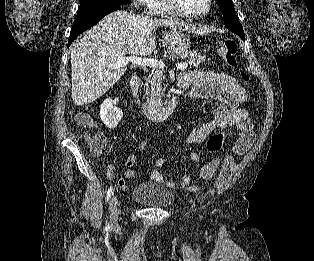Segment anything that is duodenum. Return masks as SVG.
Instances as JSON below:
<instances>
[{
    "instance_id": "obj_1",
    "label": "duodenum",
    "mask_w": 314,
    "mask_h": 261,
    "mask_svg": "<svg viewBox=\"0 0 314 261\" xmlns=\"http://www.w3.org/2000/svg\"><path fill=\"white\" fill-rule=\"evenodd\" d=\"M130 93L133 102L140 106L144 114L151 120L161 122L170 118L177 104L178 98H171L166 104L158 105L151 102H145L140 95V77L134 76L130 81Z\"/></svg>"
}]
</instances>
